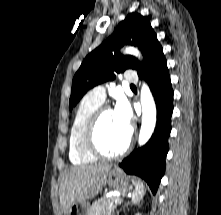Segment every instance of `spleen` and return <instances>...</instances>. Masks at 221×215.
Masks as SVG:
<instances>
[{
	"mask_svg": "<svg viewBox=\"0 0 221 215\" xmlns=\"http://www.w3.org/2000/svg\"><path fill=\"white\" fill-rule=\"evenodd\" d=\"M135 189L133 191L132 200L134 203L140 201L145 195V188L143 183L140 180L134 179L133 182Z\"/></svg>",
	"mask_w": 221,
	"mask_h": 215,
	"instance_id": "3e777b00",
	"label": "spleen"
}]
</instances>
